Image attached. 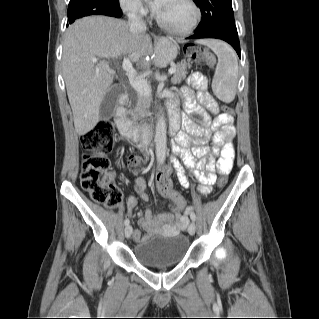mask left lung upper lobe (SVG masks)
I'll use <instances>...</instances> for the list:
<instances>
[{
  "instance_id": "1",
  "label": "left lung upper lobe",
  "mask_w": 319,
  "mask_h": 319,
  "mask_svg": "<svg viewBox=\"0 0 319 319\" xmlns=\"http://www.w3.org/2000/svg\"><path fill=\"white\" fill-rule=\"evenodd\" d=\"M199 6L202 20L197 32L223 30L237 33L231 0H193Z\"/></svg>"
}]
</instances>
